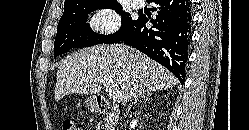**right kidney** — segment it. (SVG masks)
Wrapping results in <instances>:
<instances>
[{"label":"right kidney","mask_w":249,"mask_h":130,"mask_svg":"<svg viewBox=\"0 0 249 130\" xmlns=\"http://www.w3.org/2000/svg\"><path fill=\"white\" fill-rule=\"evenodd\" d=\"M137 119H133L131 122H130V129H135L136 125H137Z\"/></svg>","instance_id":"ca27d5eb"}]
</instances>
